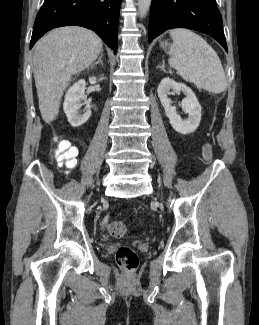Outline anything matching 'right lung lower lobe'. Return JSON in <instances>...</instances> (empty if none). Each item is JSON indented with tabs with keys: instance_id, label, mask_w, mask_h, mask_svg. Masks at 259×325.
<instances>
[{
	"instance_id": "obj_1",
	"label": "right lung lower lobe",
	"mask_w": 259,
	"mask_h": 325,
	"mask_svg": "<svg viewBox=\"0 0 259 325\" xmlns=\"http://www.w3.org/2000/svg\"><path fill=\"white\" fill-rule=\"evenodd\" d=\"M120 5L121 0H45L35 19L30 49L47 31L78 25L95 31L116 53Z\"/></svg>"
}]
</instances>
